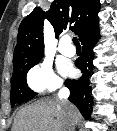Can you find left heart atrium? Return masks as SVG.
Returning a JSON list of instances; mask_svg holds the SVG:
<instances>
[{"label":"left heart atrium","mask_w":117,"mask_h":131,"mask_svg":"<svg viewBox=\"0 0 117 131\" xmlns=\"http://www.w3.org/2000/svg\"><path fill=\"white\" fill-rule=\"evenodd\" d=\"M63 71H64L65 73H70V72H71V69H70L69 67L65 66V67H63Z\"/></svg>","instance_id":"1"}]
</instances>
